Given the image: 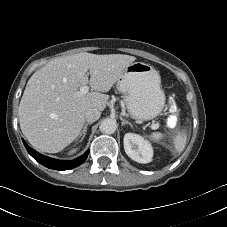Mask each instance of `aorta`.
<instances>
[{"label": "aorta", "instance_id": "aorta-1", "mask_svg": "<svg viewBox=\"0 0 227 227\" xmlns=\"http://www.w3.org/2000/svg\"><path fill=\"white\" fill-rule=\"evenodd\" d=\"M116 128L117 124L115 120L111 118L104 119L99 126L100 131L106 134H113L116 131Z\"/></svg>", "mask_w": 227, "mask_h": 227}]
</instances>
